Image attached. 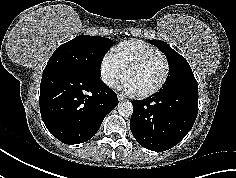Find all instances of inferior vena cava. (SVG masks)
<instances>
[{
    "label": "inferior vena cava",
    "instance_id": "1",
    "mask_svg": "<svg viewBox=\"0 0 236 178\" xmlns=\"http://www.w3.org/2000/svg\"><path fill=\"white\" fill-rule=\"evenodd\" d=\"M106 83L110 86H112L114 84V81L113 80H106Z\"/></svg>",
    "mask_w": 236,
    "mask_h": 178
}]
</instances>
